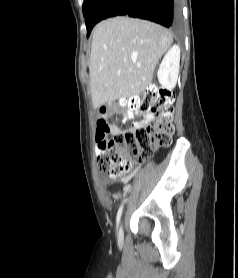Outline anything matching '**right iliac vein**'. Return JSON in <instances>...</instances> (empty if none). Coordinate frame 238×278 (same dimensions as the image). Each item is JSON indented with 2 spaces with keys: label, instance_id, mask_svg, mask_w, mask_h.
Listing matches in <instances>:
<instances>
[{
  "label": "right iliac vein",
  "instance_id": "obj_1",
  "mask_svg": "<svg viewBox=\"0 0 238 278\" xmlns=\"http://www.w3.org/2000/svg\"><path fill=\"white\" fill-rule=\"evenodd\" d=\"M122 237H123V228H122V226H120L119 231H118V238L122 239Z\"/></svg>",
  "mask_w": 238,
  "mask_h": 278
}]
</instances>
